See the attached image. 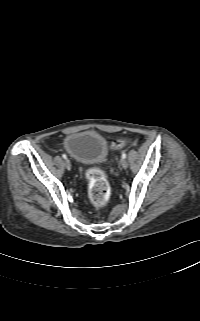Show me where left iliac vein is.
<instances>
[{"label":"left iliac vein","instance_id":"left-iliac-vein-1","mask_svg":"<svg viewBox=\"0 0 200 321\" xmlns=\"http://www.w3.org/2000/svg\"><path fill=\"white\" fill-rule=\"evenodd\" d=\"M120 163H121V166L124 168V169H126L127 167H128V163H127V161L125 160V159H121V161H120Z\"/></svg>","mask_w":200,"mask_h":321}]
</instances>
